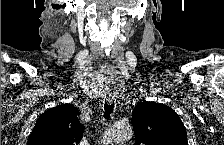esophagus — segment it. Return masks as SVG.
Returning a JSON list of instances; mask_svg holds the SVG:
<instances>
[{
    "instance_id": "1",
    "label": "esophagus",
    "mask_w": 224,
    "mask_h": 145,
    "mask_svg": "<svg viewBox=\"0 0 224 145\" xmlns=\"http://www.w3.org/2000/svg\"><path fill=\"white\" fill-rule=\"evenodd\" d=\"M109 101L111 102V94H110V98H109Z\"/></svg>"
}]
</instances>
